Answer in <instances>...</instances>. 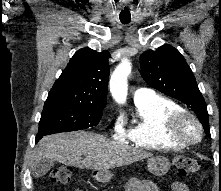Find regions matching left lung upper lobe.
Returning <instances> with one entry per match:
<instances>
[{"label":"left lung upper lobe","instance_id":"1","mask_svg":"<svg viewBox=\"0 0 221 191\" xmlns=\"http://www.w3.org/2000/svg\"><path fill=\"white\" fill-rule=\"evenodd\" d=\"M141 75L153 88L189 106L210 136L207 105L196 79L180 52L171 45L148 50L140 56Z\"/></svg>","mask_w":221,"mask_h":191}]
</instances>
